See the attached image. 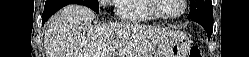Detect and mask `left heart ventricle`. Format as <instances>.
<instances>
[{
  "label": "left heart ventricle",
  "mask_w": 249,
  "mask_h": 57,
  "mask_svg": "<svg viewBox=\"0 0 249 57\" xmlns=\"http://www.w3.org/2000/svg\"><path fill=\"white\" fill-rule=\"evenodd\" d=\"M158 10L162 14H176L181 10L180 0H159Z\"/></svg>",
  "instance_id": "left-heart-ventricle-1"
}]
</instances>
